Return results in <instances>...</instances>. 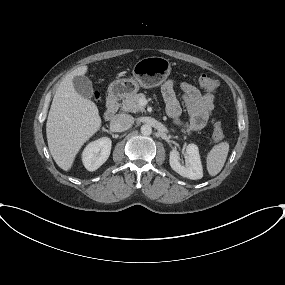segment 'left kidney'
Listing matches in <instances>:
<instances>
[{"label":"left kidney","mask_w":285,"mask_h":285,"mask_svg":"<svg viewBox=\"0 0 285 285\" xmlns=\"http://www.w3.org/2000/svg\"><path fill=\"white\" fill-rule=\"evenodd\" d=\"M186 163H180L179 153L175 150L170 152L169 163L171 168L182 177L197 180L203 177L202 163L199 149L195 144H189L186 148Z\"/></svg>","instance_id":"1"}]
</instances>
